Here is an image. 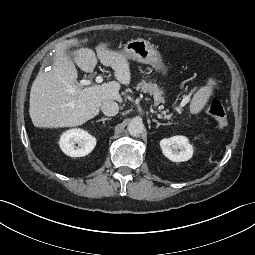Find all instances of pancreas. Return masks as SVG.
Returning <instances> with one entry per match:
<instances>
[{"mask_svg": "<svg viewBox=\"0 0 255 255\" xmlns=\"http://www.w3.org/2000/svg\"><path fill=\"white\" fill-rule=\"evenodd\" d=\"M136 90L148 93L153 96L156 105L164 102L163 91L156 83L142 81L136 86Z\"/></svg>", "mask_w": 255, "mask_h": 255, "instance_id": "1", "label": "pancreas"}]
</instances>
